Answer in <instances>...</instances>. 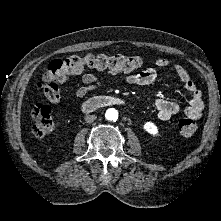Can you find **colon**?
<instances>
[{
    "label": "colon",
    "mask_w": 221,
    "mask_h": 221,
    "mask_svg": "<svg viewBox=\"0 0 221 221\" xmlns=\"http://www.w3.org/2000/svg\"><path fill=\"white\" fill-rule=\"evenodd\" d=\"M142 65L143 60L139 56L87 55L72 56L65 60L56 59L48 64L39 88L46 97L56 98L59 95L58 85L65 80L66 76L81 73L85 67L130 72L139 69ZM32 119V131L37 137L48 136L55 129L52 112L43 104L33 109ZM178 130L181 135L191 137L196 132V124L191 118H184L178 122Z\"/></svg>",
    "instance_id": "1"
}]
</instances>
